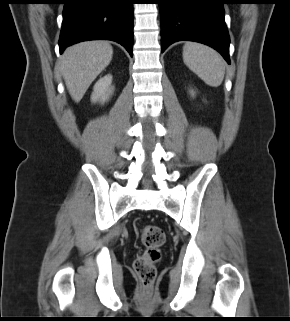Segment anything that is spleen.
<instances>
[{
	"label": "spleen",
	"mask_w": 290,
	"mask_h": 321,
	"mask_svg": "<svg viewBox=\"0 0 290 321\" xmlns=\"http://www.w3.org/2000/svg\"><path fill=\"white\" fill-rule=\"evenodd\" d=\"M184 63L207 85L217 87L224 78V61L210 47L198 43H186L183 47Z\"/></svg>",
	"instance_id": "1"
}]
</instances>
